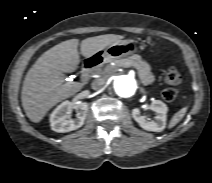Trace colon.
I'll return each instance as SVG.
<instances>
[{"mask_svg": "<svg viewBox=\"0 0 212 183\" xmlns=\"http://www.w3.org/2000/svg\"><path fill=\"white\" fill-rule=\"evenodd\" d=\"M163 81L167 86L162 91V97L166 101H173L177 96L176 87L182 83V76L175 68H169L163 75Z\"/></svg>", "mask_w": 212, "mask_h": 183, "instance_id": "colon-1", "label": "colon"}]
</instances>
